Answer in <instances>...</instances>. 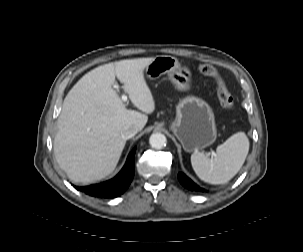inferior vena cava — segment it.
<instances>
[{
  "label": "inferior vena cava",
  "mask_w": 303,
  "mask_h": 252,
  "mask_svg": "<svg viewBox=\"0 0 303 252\" xmlns=\"http://www.w3.org/2000/svg\"><path fill=\"white\" fill-rule=\"evenodd\" d=\"M139 131L138 127L134 125H126L121 129V136L127 140L132 138Z\"/></svg>",
  "instance_id": "inferior-vena-cava-1"
}]
</instances>
